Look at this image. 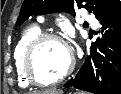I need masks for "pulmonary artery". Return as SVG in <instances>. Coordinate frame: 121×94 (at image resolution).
<instances>
[{
	"mask_svg": "<svg viewBox=\"0 0 121 94\" xmlns=\"http://www.w3.org/2000/svg\"><path fill=\"white\" fill-rule=\"evenodd\" d=\"M86 19L92 24V26H93L94 28H97L98 23H97V21L95 20L94 17H92V16H87Z\"/></svg>",
	"mask_w": 121,
	"mask_h": 94,
	"instance_id": "e3ab8cb5",
	"label": "pulmonary artery"
}]
</instances>
